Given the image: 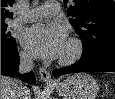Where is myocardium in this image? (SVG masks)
Segmentation results:
<instances>
[{
	"label": "myocardium",
	"instance_id": "myocardium-1",
	"mask_svg": "<svg viewBox=\"0 0 115 99\" xmlns=\"http://www.w3.org/2000/svg\"><path fill=\"white\" fill-rule=\"evenodd\" d=\"M68 50L61 55L59 63L62 65H71L77 62L84 53L83 42L76 37H71L67 41Z\"/></svg>",
	"mask_w": 115,
	"mask_h": 99
}]
</instances>
